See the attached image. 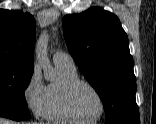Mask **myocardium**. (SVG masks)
<instances>
[{
    "mask_svg": "<svg viewBox=\"0 0 156 124\" xmlns=\"http://www.w3.org/2000/svg\"><path fill=\"white\" fill-rule=\"evenodd\" d=\"M81 86H86L90 88L97 95L100 101V113L98 114L97 117L91 120L83 119L74 108V104H73L74 93ZM64 103H65V107L69 115L78 123H83V124H90V123H95L99 121L103 117L105 113V109H106L105 99L103 95L101 94V92L99 91V89L95 87L92 83L85 81V80H81V79L72 81L65 86Z\"/></svg>",
    "mask_w": 156,
    "mask_h": 124,
    "instance_id": "1",
    "label": "myocardium"
}]
</instances>
